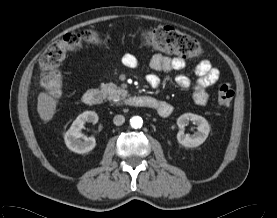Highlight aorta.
<instances>
[{
	"instance_id": "1",
	"label": "aorta",
	"mask_w": 277,
	"mask_h": 218,
	"mask_svg": "<svg viewBox=\"0 0 277 218\" xmlns=\"http://www.w3.org/2000/svg\"><path fill=\"white\" fill-rule=\"evenodd\" d=\"M130 125L134 129L141 128L143 125V120L139 116H134L130 119Z\"/></svg>"
}]
</instances>
